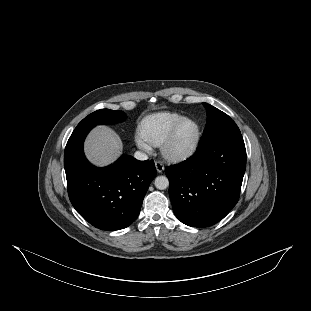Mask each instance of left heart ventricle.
<instances>
[{"instance_id": "1", "label": "left heart ventricle", "mask_w": 311, "mask_h": 311, "mask_svg": "<svg viewBox=\"0 0 311 311\" xmlns=\"http://www.w3.org/2000/svg\"><path fill=\"white\" fill-rule=\"evenodd\" d=\"M196 134V126L194 123H187L180 129L176 147L180 150L187 149L193 143Z\"/></svg>"}]
</instances>
